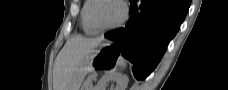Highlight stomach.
Instances as JSON below:
<instances>
[{
	"label": "stomach",
	"instance_id": "obj_1",
	"mask_svg": "<svg viewBox=\"0 0 228 90\" xmlns=\"http://www.w3.org/2000/svg\"><path fill=\"white\" fill-rule=\"evenodd\" d=\"M120 60L121 57H119L118 53L111 47L110 42L101 44L99 49H93L77 66L66 90H80V86L86 75L101 68L117 66Z\"/></svg>",
	"mask_w": 228,
	"mask_h": 90
}]
</instances>
